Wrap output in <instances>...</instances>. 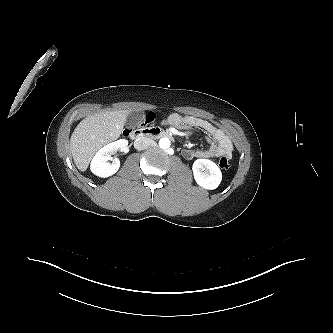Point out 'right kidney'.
Segmentation results:
<instances>
[{"instance_id": "ca27d5eb", "label": "right kidney", "mask_w": 333, "mask_h": 333, "mask_svg": "<svg viewBox=\"0 0 333 333\" xmlns=\"http://www.w3.org/2000/svg\"><path fill=\"white\" fill-rule=\"evenodd\" d=\"M127 145L128 141L121 139L101 148L91 161V172L102 178H106L115 174L120 168V161L118 158H113L112 154L118 150L125 152Z\"/></svg>"}]
</instances>
